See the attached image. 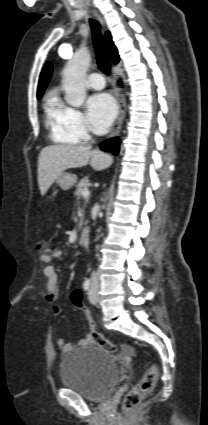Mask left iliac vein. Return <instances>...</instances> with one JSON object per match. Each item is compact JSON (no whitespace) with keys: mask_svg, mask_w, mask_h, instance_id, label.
Listing matches in <instances>:
<instances>
[{"mask_svg":"<svg viewBox=\"0 0 208 425\" xmlns=\"http://www.w3.org/2000/svg\"><path fill=\"white\" fill-rule=\"evenodd\" d=\"M98 289H99V283L98 282H94L89 290V300L92 304L97 303L98 298H97V294H98Z\"/></svg>","mask_w":208,"mask_h":425,"instance_id":"obj_1","label":"left iliac vein"}]
</instances>
